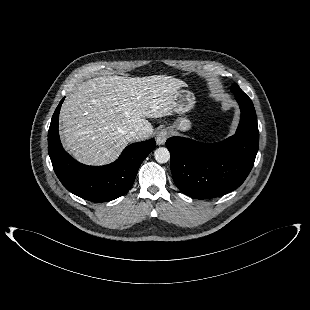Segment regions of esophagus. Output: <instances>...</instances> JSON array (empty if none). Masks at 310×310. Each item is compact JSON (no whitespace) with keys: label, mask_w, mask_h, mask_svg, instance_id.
Returning a JSON list of instances; mask_svg holds the SVG:
<instances>
[{"label":"esophagus","mask_w":310,"mask_h":310,"mask_svg":"<svg viewBox=\"0 0 310 310\" xmlns=\"http://www.w3.org/2000/svg\"><path fill=\"white\" fill-rule=\"evenodd\" d=\"M169 136L167 129H161L157 132L156 142L158 145H163Z\"/></svg>","instance_id":"1"}]
</instances>
